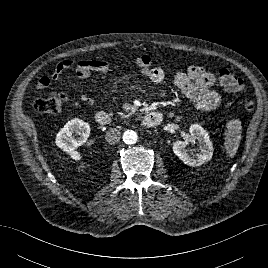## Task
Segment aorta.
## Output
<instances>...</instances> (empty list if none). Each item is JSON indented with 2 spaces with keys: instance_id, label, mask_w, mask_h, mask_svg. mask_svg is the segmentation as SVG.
<instances>
[{
  "instance_id": "obj_1",
  "label": "aorta",
  "mask_w": 268,
  "mask_h": 268,
  "mask_svg": "<svg viewBox=\"0 0 268 268\" xmlns=\"http://www.w3.org/2000/svg\"><path fill=\"white\" fill-rule=\"evenodd\" d=\"M138 140V135L135 131L133 130H127L123 134V141L126 144H134Z\"/></svg>"
}]
</instances>
